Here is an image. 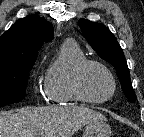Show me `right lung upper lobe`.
Wrapping results in <instances>:
<instances>
[{
  "instance_id": "obj_1",
  "label": "right lung upper lobe",
  "mask_w": 144,
  "mask_h": 137,
  "mask_svg": "<svg viewBox=\"0 0 144 137\" xmlns=\"http://www.w3.org/2000/svg\"><path fill=\"white\" fill-rule=\"evenodd\" d=\"M53 32L52 25L38 15L19 19L0 37V64L36 59L43 43L53 39Z\"/></svg>"
}]
</instances>
